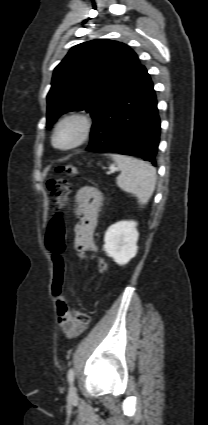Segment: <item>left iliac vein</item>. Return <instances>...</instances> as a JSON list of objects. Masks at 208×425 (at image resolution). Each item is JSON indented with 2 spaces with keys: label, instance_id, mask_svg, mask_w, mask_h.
<instances>
[{
  "label": "left iliac vein",
  "instance_id": "1",
  "mask_svg": "<svg viewBox=\"0 0 208 425\" xmlns=\"http://www.w3.org/2000/svg\"><path fill=\"white\" fill-rule=\"evenodd\" d=\"M69 396H70V398H72V399L77 397V392H76V389H75V387H74V386H71V387H70Z\"/></svg>",
  "mask_w": 208,
  "mask_h": 425
}]
</instances>
